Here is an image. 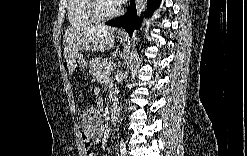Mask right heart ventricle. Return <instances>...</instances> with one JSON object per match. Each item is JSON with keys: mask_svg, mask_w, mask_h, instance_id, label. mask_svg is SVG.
<instances>
[{"mask_svg": "<svg viewBox=\"0 0 247 156\" xmlns=\"http://www.w3.org/2000/svg\"><path fill=\"white\" fill-rule=\"evenodd\" d=\"M87 0H71L68 2L67 15L71 26L82 27L95 23L87 10Z\"/></svg>", "mask_w": 247, "mask_h": 156, "instance_id": "e07e8e85", "label": "right heart ventricle"}]
</instances>
